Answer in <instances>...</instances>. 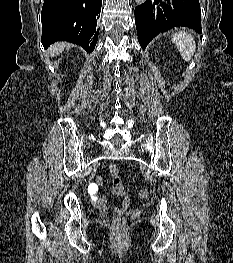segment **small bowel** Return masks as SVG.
<instances>
[{"label": "small bowel", "mask_w": 233, "mask_h": 263, "mask_svg": "<svg viewBox=\"0 0 233 263\" xmlns=\"http://www.w3.org/2000/svg\"><path fill=\"white\" fill-rule=\"evenodd\" d=\"M112 181H113V176H112ZM96 182L98 183V185L103 183V178L102 177H97ZM113 192L119 196H123L124 195V189L122 186L117 185L113 182ZM97 198L98 201L94 202L96 204V206L102 210V211H106L108 210V204H107V200L105 197L99 196L97 194ZM130 207V199L127 197H124L122 199V202L120 204V206L116 207V210L118 212H125L128 208Z\"/></svg>", "instance_id": "c3829d8e"}]
</instances>
